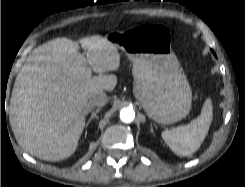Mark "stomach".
Wrapping results in <instances>:
<instances>
[{
  "instance_id": "stomach-1",
  "label": "stomach",
  "mask_w": 245,
  "mask_h": 187,
  "mask_svg": "<svg viewBox=\"0 0 245 187\" xmlns=\"http://www.w3.org/2000/svg\"><path fill=\"white\" fill-rule=\"evenodd\" d=\"M133 62V93L149 118L175 123L189 113L192 91L171 48L170 30L143 24L106 36Z\"/></svg>"
}]
</instances>
